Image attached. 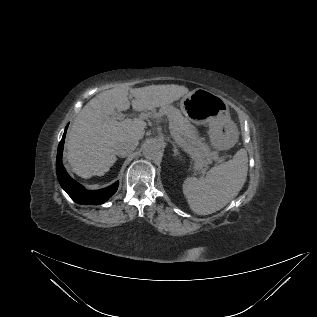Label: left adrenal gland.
Wrapping results in <instances>:
<instances>
[{"instance_id": "obj_1", "label": "left adrenal gland", "mask_w": 317, "mask_h": 317, "mask_svg": "<svg viewBox=\"0 0 317 317\" xmlns=\"http://www.w3.org/2000/svg\"><path fill=\"white\" fill-rule=\"evenodd\" d=\"M171 144H172V146H173V152H174V156H177V155H179L180 153H179V151H178V149H177V145L175 144V142H173V141H171Z\"/></svg>"}]
</instances>
